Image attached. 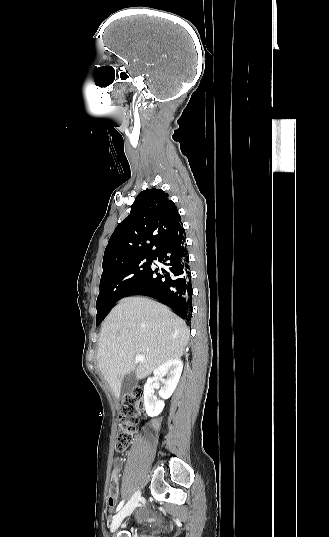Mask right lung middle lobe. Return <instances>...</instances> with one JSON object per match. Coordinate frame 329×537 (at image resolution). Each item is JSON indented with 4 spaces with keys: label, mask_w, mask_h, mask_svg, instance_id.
I'll list each match as a JSON object with an SVG mask.
<instances>
[{
    "label": "right lung middle lobe",
    "mask_w": 329,
    "mask_h": 537,
    "mask_svg": "<svg viewBox=\"0 0 329 537\" xmlns=\"http://www.w3.org/2000/svg\"><path fill=\"white\" fill-rule=\"evenodd\" d=\"M152 257H143L130 262L104 268L100 280V293L97 298L96 324L99 325L110 308L141 279L148 270Z\"/></svg>",
    "instance_id": "dd1d6c3e"
}]
</instances>
